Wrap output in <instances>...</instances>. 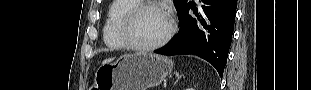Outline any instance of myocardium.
<instances>
[{
	"label": "myocardium",
	"mask_w": 311,
	"mask_h": 90,
	"mask_svg": "<svg viewBox=\"0 0 311 90\" xmlns=\"http://www.w3.org/2000/svg\"><path fill=\"white\" fill-rule=\"evenodd\" d=\"M146 9H157L165 13L168 18L169 27L165 35L155 43L149 45L138 44L132 35V27L138 16ZM176 30V22L174 15L163 5L155 2H141L140 4L131 8L122 18L119 28V34L126 46L137 52H148L156 50L165 45L173 36Z\"/></svg>",
	"instance_id": "f54148a6"
}]
</instances>
